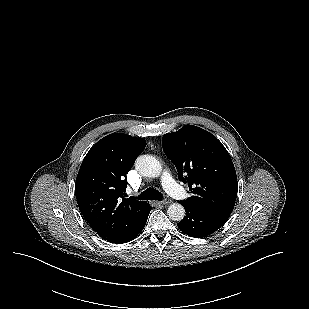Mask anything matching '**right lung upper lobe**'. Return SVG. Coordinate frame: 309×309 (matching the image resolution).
Returning a JSON list of instances; mask_svg holds the SVG:
<instances>
[{
  "label": "right lung upper lobe",
  "mask_w": 309,
  "mask_h": 309,
  "mask_svg": "<svg viewBox=\"0 0 309 309\" xmlns=\"http://www.w3.org/2000/svg\"><path fill=\"white\" fill-rule=\"evenodd\" d=\"M145 146L142 138L113 133L99 140L81 164L75 182L77 203L85 220L105 240L131 230L149 205L124 198L126 174Z\"/></svg>",
  "instance_id": "1"
}]
</instances>
